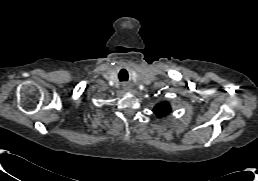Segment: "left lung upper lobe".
Listing matches in <instances>:
<instances>
[{"label": "left lung upper lobe", "mask_w": 258, "mask_h": 181, "mask_svg": "<svg viewBox=\"0 0 258 181\" xmlns=\"http://www.w3.org/2000/svg\"><path fill=\"white\" fill-rule=\"evenodd\" d=\"M171 110L170 105L167 102H163L160 104H157L154 109L153 112L158 116V117H162L167 115Z\"/></svg>", "instance_id": "1"}]
</instances>
